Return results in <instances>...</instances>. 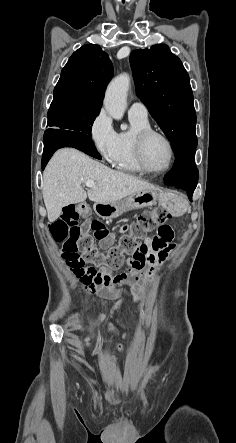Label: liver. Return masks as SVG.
Returning <instances> with one entry per match:
<instances>
[{
	"instance_id": "obj_1",
	"label": "liver",
	"mask_w": 236,
	"mask_h": 443,
	"mask_svg": "<svg viewBox=\"0 0 236 443\" xmlns=\"http://www.w3.org/2000/svg\"><path fill=\"white\" fill-rule=\"evenodd\" d=\"M93 180L95 187L87 192L82 184ZM154 186L134 176L112 170L82 152L64 148L58 150L43 173V199L50 222L60 216L62 208L87 199L109 204Z\"/></svg>"
}]
</instances>
